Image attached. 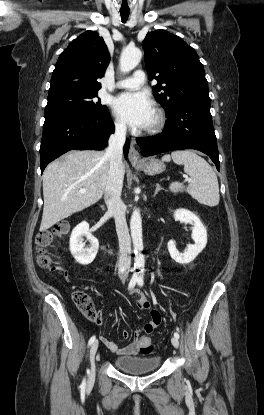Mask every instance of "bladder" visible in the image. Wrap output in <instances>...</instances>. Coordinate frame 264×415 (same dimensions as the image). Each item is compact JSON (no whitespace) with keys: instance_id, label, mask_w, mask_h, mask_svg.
<instances>
[{"instance_id":"obj_1","label":"bladder","mask_w":264,"mask_h":415,"mask_svg":"<svg viewBox=\"0 0 264 415\" xmlns=\"http://www.w3.org/2000/svg\"><path fill=\"white\" fill-rule=\"evenodd\" d=\"M160 363L161 359L158 356H120L114 360L116 367L131 374L154 371L159 368Z\"/></svg>"}]
</instances>
